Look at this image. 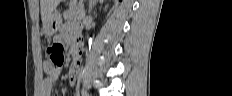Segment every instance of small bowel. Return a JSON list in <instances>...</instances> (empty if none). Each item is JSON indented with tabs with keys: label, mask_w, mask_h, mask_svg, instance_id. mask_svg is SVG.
I'll return each mask as SVG.
<instances>
[{
	"label": "small bowel",
	"mask_w": 232,
	"mask_h": 96,
	"mask_svg": "<svg viewBox=\"0 0 232 96\" xmlns=\"http://www.w3.org/2000/svg\"><path fill=\"white\" fill-rule=\"evenodd\" d=\"M81 27L76 26L74 23H65L58 35L54 37V44H59L64 47V45L78 46L79 43H84V38H79V35H83V30H79ZM48 54V53H47ZM49 63H44V69L48 71ZM49 72V71H48ZM76 77V72L72 70L70 72V83L74 84ZM57 76L51 74L50 76L44 78L40 85V95L50 96L53 88V84L57 80ZM55 96H62V93H55Z\"/></svg>",
	"instance_id": "1"
}]
</instances>
